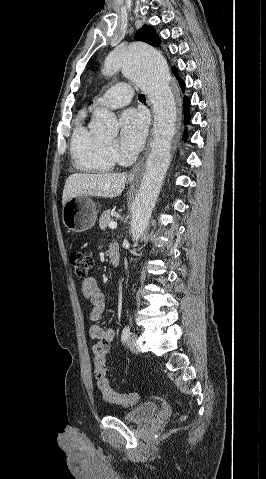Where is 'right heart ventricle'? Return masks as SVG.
Instances as JSON below:
<instances>
[{
  "mask_svg": "<svg viewBox=\"0 0 266 479\" xmlns=\"http://www.w3.org/2000/svg\"><path fill=\"white\" fill-rule=\"evenodd\" d=\"M71 155L75 167L88 173H108L113 170L115 159L106 141L87 128L82 118L74 127Z\"/></svg>",
  "mask_w": 266,
  "mask_h": 479,
  "instance_id": "obj_1",
  "label": "right heart ventricle"
}]
</instances>
